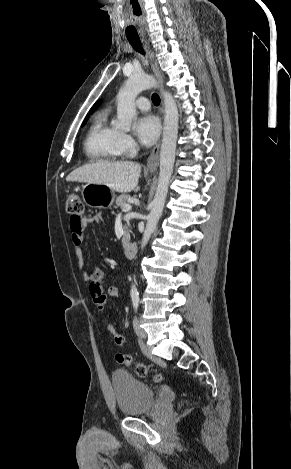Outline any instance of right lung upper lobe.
I'll return each mask as SVG.
<instances>
[{
    "label": "right lung upper lobe",
    "instance_id": "right-lung-upper-lobe-1",
    "mask_svg": "<svg viewBox=\"0 0 291 469\" xmlns=\"http://www.w3.org/2000/svg\"><path fill=\"white\" fill-rule=\"evenodd\" d=\"M100 103H101V101H98L97 103H95L94 106L91 108L90 112H93L94 109H95L96 107H98Z\"/></svg>",
    "mask_w": 291,
    "mask_h": 469
}]
</instances>
